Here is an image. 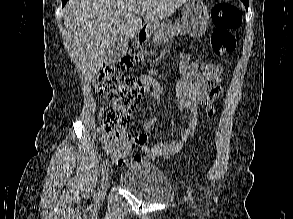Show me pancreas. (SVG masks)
<instances>
[{
    "label": "pancreas",
    "instance_id": "obj_1",
    "mask_svg": "<svg viewBox=\"0 0 293 219\" xmlns=\"http://www.w3.org/2000/svg\"><path fill=\"white\" fill-rule=\"evenodd\" d=\"M176 34H185L184 26L180 25L178 21H175L173 24L169 23L168 31L154 36L153 42L157 45H160L162 42H166L169 37H172Z\"/></svg>",
    "mask_w": 293,
    "mask_h": 219
}]
</instances>
